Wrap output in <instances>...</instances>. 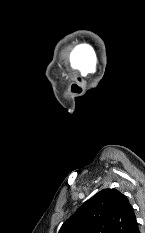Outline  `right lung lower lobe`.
Segmentation results:
<instances>
[{
    "label": "right lung lower lobe",
    "mask_w": 145,
    "mask_h": 233,
    "mask_svg": "<svg viewBox=\"0 0 145 233\" xmlns=\"http://www.w3.org/2000/svg\"><path fill=\"white\" fill-rule=\"evenodd\" d=\"M131 233H140L138 224L135 226L134 230Z\"/></svg>",
    "instance_id": "1"
}]
</instances>
